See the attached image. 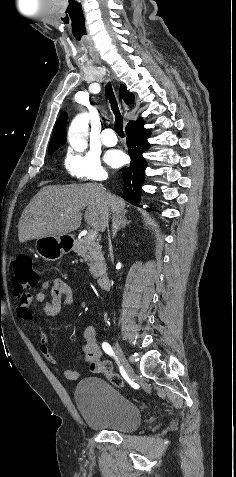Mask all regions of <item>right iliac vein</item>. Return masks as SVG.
Returning <instances> with one entry per match:
<instances>
[{
    "label": "right iliac vein",
    "instance_id": "63e3f726",
    "mask_svg": "<svg viewBox=\"0 0 236 477\" xmlns=\"http://www.w3.org/2000/svg\"><path fill=\"white\" fill-rule=\"evenodd\" d=\"M114 347H115L117 355L119 356V358L122 362V365H123L126 373L128 374L129 377H132L133 374H134V370H133L132 366L129 364L128 360L126 359L121 345L116 341Z\"/></svg>",
    "mask_w": 236,
    "mask_h": 477
}]
</instances>
